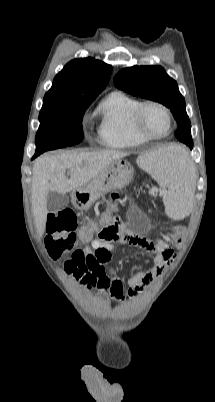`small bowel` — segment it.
Here are the masks:
<instances>
[{"label":"small bowel","mask_w":215,"mask_h":402,"mask_svg":"<svg viewBox=\"0 0 215 402\" xmlns=\"http://www.w3.org/2000/svg\"><path fill=\"white\" fill-rule=\"evenodd\" d=\"M116 241L140 247L152 256L155 262V267L151 270L131 273L126 295L124 294L123 281L117 275V268L111 267L109 273L105 269V265L113 260L112 253ZM80 252L82 254L80 262L69 259V264H64V270L71 281L80 284L86 290H104L117 301H128L138 296L161 275L164 263L169 261L173 254L170 247L162 240L135 234L120 222L104 227L91 240L90 246L85 247Z\"/></svg>","instance_id":"small-bowel-1"}]
</instances>
